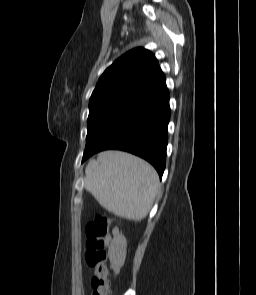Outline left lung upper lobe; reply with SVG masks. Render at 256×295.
I'll return each instance as SVG.
<instances>
[{
	"label": "left lung upper lobe",
	"mask_w": 256,
	"mask_h": 295,
	"mask_svg": "<svg viewBox=\"0 0 256 295\" xmlns=\"http://www.w3.org/2000/svg\"><path fill=\"white\" fill-rule=\"evenodd\" d=\"M165 88V76L149 50L125 53L105 70L91 95L85 148Z\"/></svg>",
	"instance_id": "5c2ea615"
}]
</instances>
